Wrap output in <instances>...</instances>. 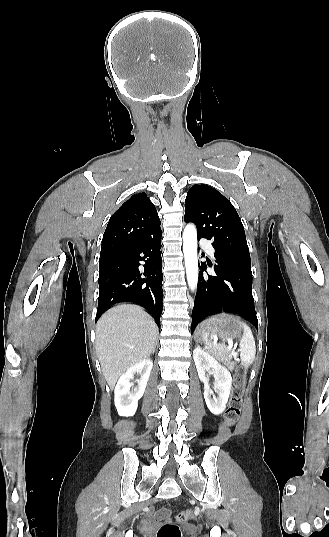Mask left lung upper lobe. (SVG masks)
Listing matches in <instances>:
<instances>
[{"instance_id":"5c2ea615","label":"left lung upper lobe","mask_w":329,"mask_h":537,"mask_svg":"<svg viewBox=\"0 0 329 537\" xmlns=\"http://www.w3.org/2000/svg\"><path fill=\"white\" fill-rule=\"evenodd\" d=\"M184 220L197 227L198 239L212 241L215 254L251 267L243 224L233 205L208 185H194L185 201Z\"/></svg>"}]
</instances>
